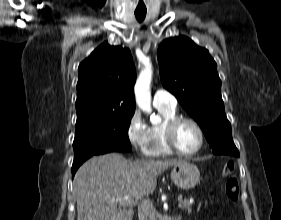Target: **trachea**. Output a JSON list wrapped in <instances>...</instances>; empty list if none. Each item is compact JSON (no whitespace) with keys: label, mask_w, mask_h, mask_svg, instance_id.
<instances>
[{"label":"trachea","mask_w":281,"mask_h":220,"mask_svg":"<svg viewBox=\"0 0 281 220\" xmlns=\"http://www.w3.org/2000/svg\"><path fill=\"white\" fill-rule=\"evenodd\" d=\"M135 16L139 22H142L145 19L146 10H135Z\"/></svg>","instance_id":"1"}]
</instances>
